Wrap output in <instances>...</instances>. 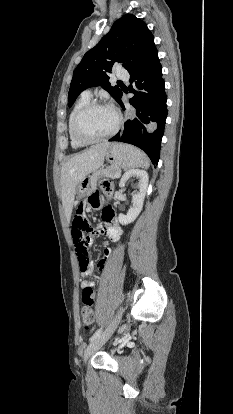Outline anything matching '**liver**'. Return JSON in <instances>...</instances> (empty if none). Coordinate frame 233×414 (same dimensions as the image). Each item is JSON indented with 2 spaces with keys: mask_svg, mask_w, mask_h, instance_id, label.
Listing matches in <instances>:
<instances>
[{
  "mask_svg": "<svg viewBox=\"0 0 233 414\" xmlns=\"http://www.w3.org/2000/svg\"><path fill=\"white\" fill-rule=\"evenodd\" d=\"M111 143L103 142L68 159L61 169L62 203L67 219L71 217L77 185L103 165Z\"/></svg>",
  "mask_w": 233,
  "mask_h": 414,
  "instance_id": "obj_1",
  "label": "liver"
}]
</instances>
